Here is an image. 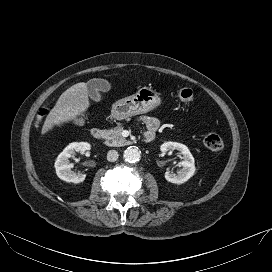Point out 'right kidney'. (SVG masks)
<instances>
[{"mask_svg":"<svg viewBox=\"0 0 272 272\" xmlns=\"http://www.w3.org/2000/svg\"><path fill=\"white\" fill-rule=\"evenodd\" d=\"M90 150V144L87 142H74L70 143L57 157L55 161V170L57 176L66 182L81 183L85 180L86 174L74 173L71 168L72 164H69V158L73 157L75 153H85Z\"/></svg>","mask_w":272,"mask_h":272,"instance_id":"ca27d5eb","label":"right kidney"}]
</instances>
